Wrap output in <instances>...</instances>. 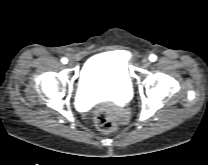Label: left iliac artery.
<instances>
[{"label": "left iliac artery", "mask_w": 208, "mask_h": 165, "mask_svg": "<svg viewBox=\"0 0 208 165\" xmlns=\"http://www.w3.org/2000/svg\"><path fill=\"white\" fill-rule=\"evenodd\" d=\"M149 59H150V61L154 62L157 59V56L154 54H151Z\"/></svg>", "instance_id": "44dca946"}]
</instances>
